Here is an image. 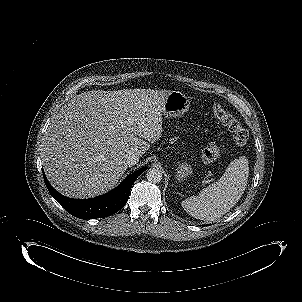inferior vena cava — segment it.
I'll use <instances>...</instances> for the list:
<instances>
[{
	"label": "inferior vena cava",
	"mask_w": 302,
	"mask_h": 302,
	"mask_svg": "<svg viewBox=\"0 0 302 302\" xmlns=\"http://www.w3.org/2000/svg\"><path fill=\"white\" fill-rule=\"evenodd\" d=\"M140 155L136 152H129L125 157V163L128 166H134L138 163Z\"/></svg>",
	"instance_id": "inferior-vena-cava-1"
}]
</instances>
